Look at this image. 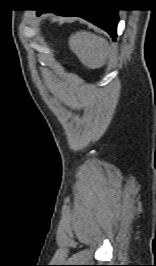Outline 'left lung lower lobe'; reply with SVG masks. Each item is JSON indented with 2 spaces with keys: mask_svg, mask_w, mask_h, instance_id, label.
Wrapping results in <instances>:
<instances>
[{
  "mask_svg": "<svg viewBox=\"0 0 156 266\" xmlns=\"http://www.w3.org/2000/svg\"><path fill=\"white\" fill-rule=\"evenodd\" d=\"M40 15L43 11H55L66 16H80L107 31L113 40L116 39V28L118 24V10L110 8H88V9H59V10H37Z\"/></svg>",
  "mask_w": 156,
  "mask_h": 266,
  "instance_id": "obj_1",
  "label": "left lung lower lobe"
}]
</instances>
